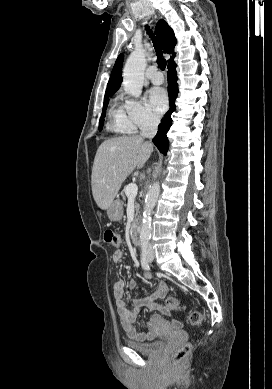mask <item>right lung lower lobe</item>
Listing matches in <instances>:
<instances>
[{"label":"right lung lower lobe","mask_w":272,"mask_h":389,"mask_svg":"<svg viewBox=\"0 0 272 389\" xmlns=\"http://www.w3.org/2000/svg\"><path fill=\"white\" fill-rule=\"evenodd\" d=\"M177 79L176 64L173 61L172 63L168 64V93L170 109L162 119L156 136L152 139L153 143L163 154H166L169 147V141L166 133L172 125L171 114L175 110V99L178 93V84L176 82Z\"/></svg>","instance_id":"obj_1"}]
</instances>
